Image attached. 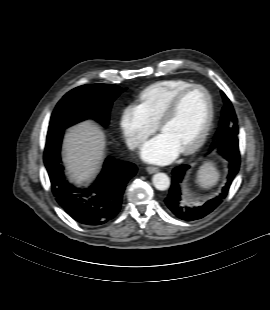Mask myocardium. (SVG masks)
Segmentation results:
<instances>
[{
    "instance_id": "obj_1",
    "label": "myocardium",
    "mask_w": 270,
    "mask_h": 310,
    "mask_svg": "<svg viewBox=\"0 0 270 310\" xmlns=\"http://www.w3.org/2000/svg\"><path fill=\"white\" fill-rule=\"evenodd\" d=\"M194 90H201L206 95L207 102H208V112H207L206 122H205V125H204V128H203L201 134L198 136V138L189 147L180 151V153L182 155H189V154H192L195 151H197L204 144V142L206 141V139L210 133L212 123H213V118H214V103H213V99H212L210 92L204 86L199 85V84H192V85H189V86L183 88L182 90L177 92L172 97V99L170 100L168 105L162 111V113H161V115L158 118V121L156 123L157 129L159 131H161L162 126L165 123H167L176 113L182 98L187 93L194 91Z\"/></svg>"
}]
</instances>
